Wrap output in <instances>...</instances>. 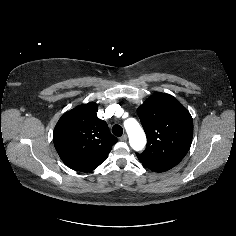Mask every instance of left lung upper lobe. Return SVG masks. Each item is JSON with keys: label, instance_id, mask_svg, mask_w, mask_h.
<instances>
[{"label": "left lung upper lobe", "instance_id": "left-lung-upper-lobe-1", "mask_svg": "<svg viewBox=\"0 0 236 236\" xmlns=\"http://www.w3.org/2000/svg\"><path fill=\"white\" fill-rule=\"evenodd\" d=\"M147 136V146L139 161L155 172L175 167L187 154L193 136L189 111L173 96L157 93L138 108Z\"/></svg>", "mask_w": 236, "mask_h": 236}]
</instances>
